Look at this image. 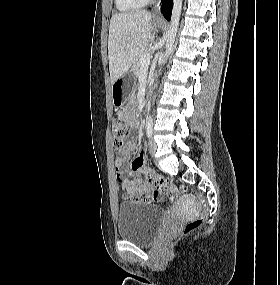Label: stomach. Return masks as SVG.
I'll list each match as a JSON object with an SVG mask.
<instances>
[{
  "mask_svg": "<svg viewBox=\"0 0 280 285\" xmlns=\"http://www.w3.org/2000/svg\"><path fill=\"white\" fill-rule=\"evenodd\" d=\"M157 27L162 28L163 23L156 22ZM133 82L132 77L126 73L120 79L115 81L112 86V101L115 106H121L127 96V89L131 86Z\"/></svg>",
  "mask_w": 280,
  "mask_h": 285,
  "instance_id": "0dacf381",
  "label": "stomach"
}]
</instances>
